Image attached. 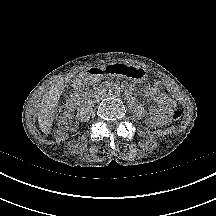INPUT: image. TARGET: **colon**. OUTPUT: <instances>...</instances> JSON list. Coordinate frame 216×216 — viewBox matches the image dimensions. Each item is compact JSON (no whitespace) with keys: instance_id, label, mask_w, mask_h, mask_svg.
Wrapping results in <instances>:
<instances>
[{"instance_id":"colon-1","label":"colon","mask_w":216,"mask_h":216,"mask_svg":"<svg viewBox=\"0 0 216 216\" xmlns=\"http://www.w3.org/2000/svg\"><path fill=\"white\" fill-rule=\"evenodd\" d=\"M182 118L180 110H174L171 114V120L174 122ZM58 126L62 130H73L77 126V120L73 114V107L69 102H64L58 108Z\"/></svg>"}]
</instances>
